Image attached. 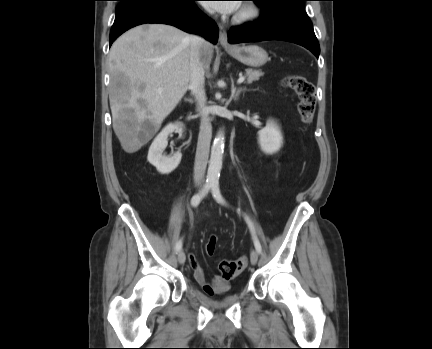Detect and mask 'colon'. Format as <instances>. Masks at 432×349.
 Listing matches in <instances>:
<instances>
[{
    "label": "colon",
    "instance_id": "obj_1",
    "mask_svg": "<svg viewBox=\"0 0 432 349\" xmlns=\"http://www.w3.org/2000/svg\"><path fill=\"white\" fill-rule=\"evenodd\" d=\"M286 88L293 90L298 97L297 109L304 124L312 122L315 107L316 94L315 87L307 78L299 75L289 74L282 81ZM217 239L212 236L206 244V252L208 255L215 253ZM248 265L247 257L242 256L236 260H222L219 264L221 277L225 280H232L242 273Z\"/></svg>",
    "mask_w": 432,
    "mask_h": 349
}]
</instances>
